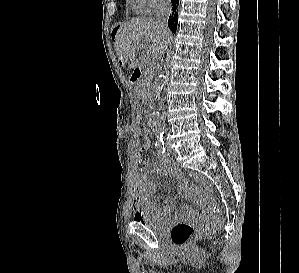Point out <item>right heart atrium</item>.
<instances>
[{"instance_id": "obj_1", "label": "right heart atrium", "mask_w": 299, "mask_h": 273, "mask_svg": "<svg viewBox=\"0 0 299 273\" xmlns=\"http://www.w3.org/2000/svg\"><path fill=\"white\" fill-rule=\"evenodd\" d=\"M138 11L148 13L165 4L167 0H133Z\"/></svg>"}]
</instances>
